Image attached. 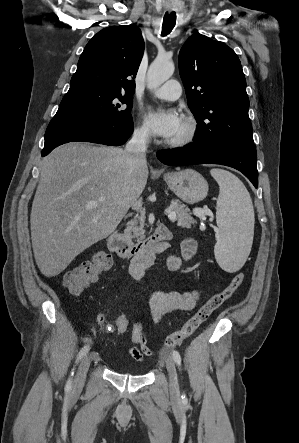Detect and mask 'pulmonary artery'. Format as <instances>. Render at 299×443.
<instances>
[{
	"label": "pulmonary artery",
	"instance_id": "e3ab8cb5",
	"mask_svg": "<svg viewBox=\"0 0 299 443\" xmlns=\"http://www.w3.org/2000/svg\"><path fill=\"white\" fill-rule=\"evenodd\" d=\"M181 85L177 80L171 79L152 92L156 98L173 101L181 96Z\"/></svg>",
	"mask_w": 299,
	"mask_h": 443
}]
</instances>
